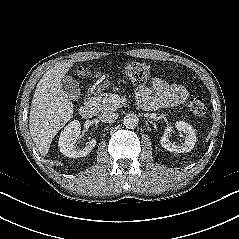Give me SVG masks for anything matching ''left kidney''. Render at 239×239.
I'll list each match as a JSON object with an SVG mask.
<instances>
[{
	"mask_svg": "<svg viewBox=\"0 0 239 239\" xmlns=\"http://www.w3.org/2000/svg\"><path fill=\"white\" fill-rule=\"evenodd\" d=\"M175 127L185 134L184 143L182 145H176L170 142L169 135L172 132L171 126L166 127L163 136L161 137V145L170 152L183 153L190 152L196 143V134L192 126L184 121H177Z\"/></svg>",
	"mask_w": 239,
	"mask_h": 239,
	"instance_id": "1",
	"label": "left kidney"
}]
</instances>
